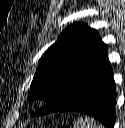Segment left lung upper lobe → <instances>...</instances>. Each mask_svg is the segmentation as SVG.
Instances as JSON below:
<instances>
[{"label":"left lung upper lobe","mask_w":125,"mask_h":128,"mask_svg":"<svg viewBox=\"0 0 125 128\" xmlns=\"http://www.w3.org/2000/svg\"><path fill=\"white\" fill-rule=\"evenodd\" d=\"M97 30L83 23H74L65 29L57 41L47 49L30 86L32 99H42L48 105L33 116L54 113L65 106L83 76L107 54Z\"/></svg>","instance_id":"5c2ea615"}]
</instances>
